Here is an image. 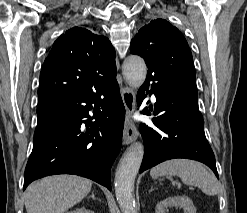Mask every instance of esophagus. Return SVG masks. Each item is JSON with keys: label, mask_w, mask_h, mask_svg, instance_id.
Instances as JSON below:
<instances>
[{"label": "esophagus", "mask_w": 247, "mask_h": 213, "mask_svg": "<svg viewBox=\"0 0 247 213\" xmlns=\"http://www.w3.org/2000/svg\"><path fill=\"white\" fill-rule=\"evenodd\" d=\"M120 92L126 110L123 143L127 145L138 137V130L132 119L136 106V97L134 91L129 87H121Z\"/></svg>", "instance_id": "1"}]
</instances>
